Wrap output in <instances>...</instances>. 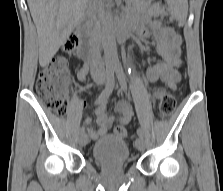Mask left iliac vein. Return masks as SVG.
<instances>
[{
    "instance_id": "obj_1",
    "label": "left iliac vein",
    "mask_w": 223,
    "mask_h": 191,
    "mask_svg": "<svg viewBox=\"0 0 223 191\" xmlns=\"http://www.w3.org/2000/svg\"><path fill=\"white\" fill-rule=\"evenodd\" d=\"M135 147H136L139 151H143V150H144V148H145V142H144L143 137H138V138L135 140Z\"/></svg>"
}]
</instances>
